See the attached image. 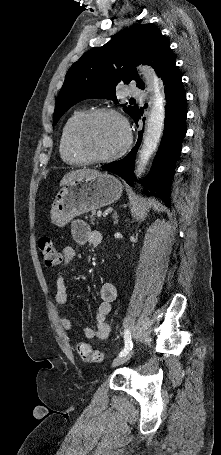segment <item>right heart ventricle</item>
Masks as SVG:
<instances>
[{"mask_svg":"<svg viewBox=\"0 0 221 455\" xmlns=\"http://www.w3.org/2000/svg\"><path fill=\"white\" fill-rule=\"evenodd\" d=\"M86 109H78L74 111L66 120L60 137V154L62 159L73 166H82L89 163L75 148L74 145V129L78 121L84 114Z\"/></svg>","mask_w":221,"mask_h":455,"instance_id":"obj_1","label":"right heart ventricle"}]
</instances>
